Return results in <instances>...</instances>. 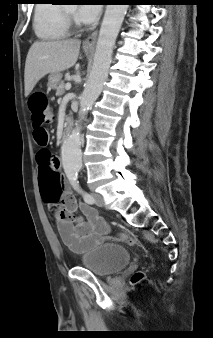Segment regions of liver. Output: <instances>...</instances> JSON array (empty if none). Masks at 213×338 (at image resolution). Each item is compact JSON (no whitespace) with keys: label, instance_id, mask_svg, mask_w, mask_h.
Masks as SVG:
<instances>
[{"label":"liver","instance_id":"1","mask_svg":"<svg viewBox=\"0 0 213 338\" xmlns=\"http://www.w3.org/2000/svg\"><path fill=\"white\" fill-rule=\"evenodd\" d=\"M80 44L75 39L33 43L25 62V96L31 93L45 75L73 67L78 59Z\"/></svg>","mask_w":213,"mask_h":338}]
</instances>
